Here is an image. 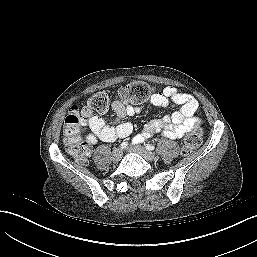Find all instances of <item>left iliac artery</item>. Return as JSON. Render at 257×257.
<instances>
[{
	"label": "left iliac artery",
	"instance_id": "left-iliac-artery-1",
	"mask_svg": "<svg viewBox=\"0 0 257 257\" xmlns=\"http://www.w3.org/2000/svg\"><path fill=\"white\" fill-rule=\"evenodd\" d=\"M145 147H146L147 150H150V151L155 149V147L153 145H150V144H147Z\"/></svg>",
	"mask_w": 257,
	"mask_h": 257
}]
</instances>
